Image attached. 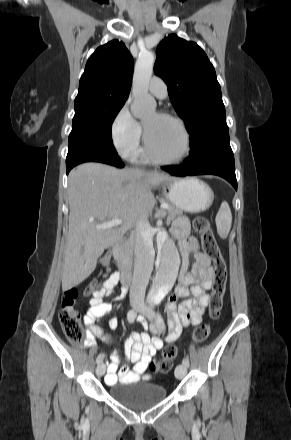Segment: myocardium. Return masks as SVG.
I'll use <instances>...</instances> for the list:
<instances>
[{"label": "myocardium", "mask_w": 291, "mask_h": 440, "mask_svg": "<svg viewBox=\"0 0 291 440\" xmlns=\"http://www.w3.org/2000/svg\"><path fill=\"white\" fill-rule=\"evenodd\" d=\"M159 115H161L162 117L168 118L172 121H174L175 123L178 124V126L180 127V129L182 130L184 137H185V152L184 154L179 158V159H175V160H167L162 158L157 152L156 150L153 148L147 131L145 129V126L143 124V138H144V143H145V150L147 155L155 162L159 163V164H163V165H177L182 163L183 161H185L192 150V143H191V135L190 132L186 126V124L184 123V121L178 117L177 115H174L172 113L169 112H165V111H161L158 113Z\"/></svg>", "instance_id": "obj_1"}]
</instances>
